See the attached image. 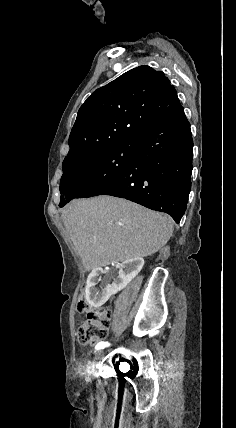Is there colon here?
<instances>
[{
  "mask_svg": "<svg viewBox=\"0 0 236 428\" xmlns=\"http://www.w3.org/2000/svg\"><path fill=\"white\" fill-rule=\"evenodd\" d=\"M78 310L85 314L77 329V340L84 345H95L108 334L110 312L105 309H95L85 299V288L81 287L78 300Z\"/></svg>",
  "mask_w": 236,
  "mask_h": 428,
  "instance_id": "5ec220e1",
  "label": "colon"
}]
</instances>
